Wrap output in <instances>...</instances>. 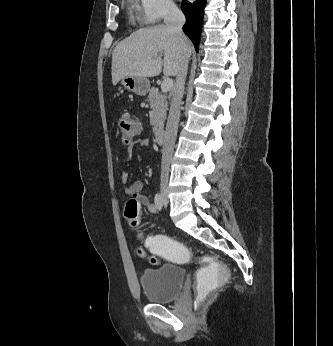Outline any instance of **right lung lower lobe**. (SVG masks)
<instances>
[{
    "instance_id": "right-lung-lower-lobe-1",
    "label": "right lung lower lobe",
    "mask_w": 333,
    "mask_h": 346,
    "mask_svg": "<svg viewBox=\"0 0 333 346\" xmlns=\"http://www.w3.org/2000/svg\"><path fill=\"white\" fill-rule=\"evenodd\" d=\"M206 5V0H198L194 2L183 1L181 9L186 17V23L183 26L184 33L193 42L196 51H198L200 40V29L203 19V8Z\"/></svg>"
}]
</instances>
